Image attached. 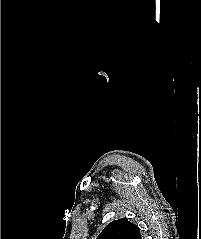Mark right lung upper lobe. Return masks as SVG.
Listing matches in <instances>:
<instances>
[{
    "label": "right lung upper lobe",
    "mask_w": 201,
    "mask_h": 239,
    "mask_svg": "<svg viewBox=\"0 0 201 239\" xmlns=\"http://www.w3.org/2000/svg\"><path fill=\"white\" fill-rule=\"evenodd\" d=\"M97 239H141V235L136 225L122 218L109 223Z\"/></svg>",
    "instance_id": "1"
}]
</instances>
